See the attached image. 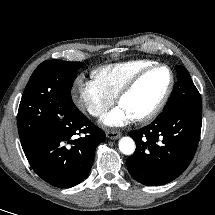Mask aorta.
I'll use <instances>...</instances> for the list:
<instances>
[{"label":"aorta","instance_id":"obj_1","mask_svg":"<svg viewBox=\"0 0 215 215\" xmlns=\"http://www.w3.org/2000/svg\"><path fill=\"white\" fill-rule=\"evenodd\" d=\"M119 149L125 155H130L135 150V143L130 137H123L119 141Z\"/></svg>","mask_w":215,"mask_h":215}]
</instances>
